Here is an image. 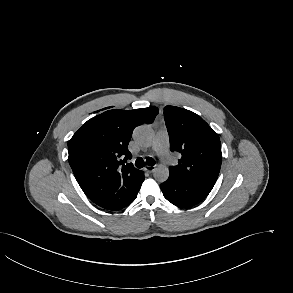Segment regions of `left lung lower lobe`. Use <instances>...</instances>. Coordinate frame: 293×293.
Listing matches in <instances>:
<instances>
[{"mask_svg":"<svg viewBox=\"0 0 293 293\" xmlns=\"http://www.w3.org/2000/svg\"><path fill=\"white\" fill-rule=\"evenodd\" d=\"M214 185L196 183L169 175L160 185L164 197L178 207H190L198 204L207 197Z\"/></svg>","mask_w":293,"mask_h":293,"instance_id":"0a47b994","label":"left lung lower lobe"}]
</instances>
